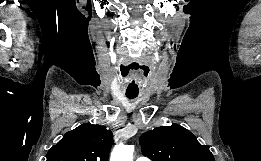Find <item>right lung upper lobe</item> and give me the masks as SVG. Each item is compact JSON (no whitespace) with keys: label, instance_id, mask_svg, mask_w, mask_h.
Instances as JSON below:
<instances>
[{"label":"right lung upper lobe","instance_id":"right-lung-upper-lobe-1","mask_svg":"<svg viewBox=\"0 0 261 161\" xmlns=\"http://www.w3.org/2000/svg\"><path fill=\"white\" fill-rule=\"evenodd\" d=\"M113 134L104 126L85 123L67 132L47 153V161H108Z\"/></svg>","mask_w":261,"mask_h":161}]
</instances>
